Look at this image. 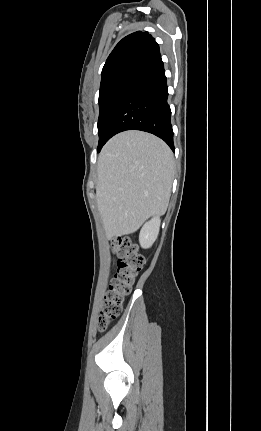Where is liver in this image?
Returning <instances> with one entry per match:
<instances>
[{"label": "liver", "mask_w": 261, "mask_h": 431, "mask_svg": "<svg viewBox=\"0 0 261 431\" xmlns=\"http://www.w3.org/2000/svg\"><path fill=\"white\" fill-rule=\"evenodd\" d=\"M174 177L168 145L142 131L112 137L98 157L96 200L108 239L137 231L165 213Z\"/></svg>", "instance_id": "6515ba94"}]
</instances>
